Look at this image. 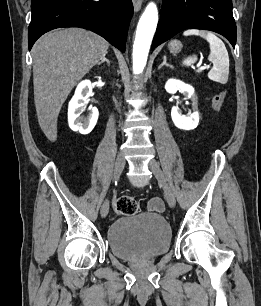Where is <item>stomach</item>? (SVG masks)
Wrapping results in <instances>:
<instances>
[{
    "label": "stomach",
    "mask_w": 261,
    "mask_h": 306,
    "mask_svg": "<svg viewBox=\"0 0 261 306\" xmlns=\"http://www.w3.org/2000/svg\"><path fill=\"white\" fill-rule=\"evenodd\" d=\"M168 48H169L171 53L176 54L182 49V43L180 41L176 40V39L172 40L168 44Z\"/></svg>",
    "instance_id": "stomach-1"
}]
</instances>
